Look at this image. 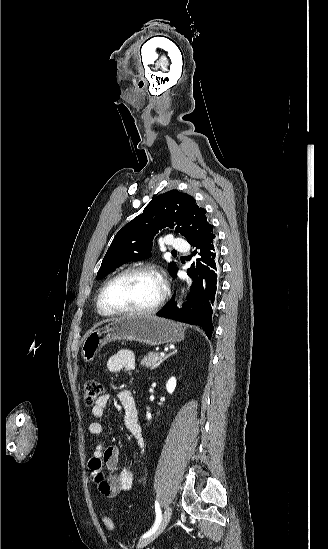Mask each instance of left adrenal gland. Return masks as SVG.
Segmentation results:
<instances>
[{"mask_svg":"<svg viewBox=\"0 0 328 549\" xmlns=\"http://www.w3.org/2000/svg\"><path fill=\"white\" fill-rule=\"evenodd\" d=\"M174 353H177V349H174L173 353H170V355H174ZM170 355H168V357H170ZM168 357H165V359H168Z\"/></svg>","mask_w":328,"mask_h":549,"instance_id":"a2214340","label":"left adrenal gland"}]
</instances>
